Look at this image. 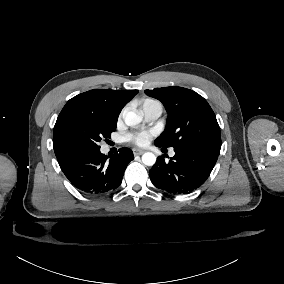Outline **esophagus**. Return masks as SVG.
I'll use <instances>...</instances> for the list:
<instances>
[{
  "label": "esophagus",
  "instance_id": "34e87169",
  "mask_svg": "<svg viewBox=\"0 0 284 284\" xmlns=\"http://www.w3.org/2000/svg\"><path fill=\"white\" fill-rule=\"evenodd\" d=\"M133 151V154L136 156V155H142L145 151L144 150H141L139 148H133L132 149Z\"/></svg>",
  "mask_w": 284,
  "mask_h": 284
}]
</instances>
